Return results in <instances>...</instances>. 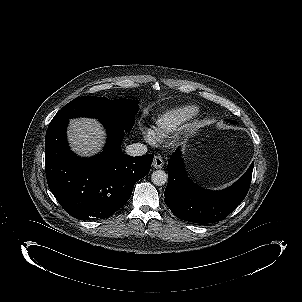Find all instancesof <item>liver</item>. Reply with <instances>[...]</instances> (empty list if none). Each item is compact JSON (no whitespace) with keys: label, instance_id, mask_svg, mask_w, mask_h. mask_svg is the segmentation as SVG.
<instances>
[{"label":"liver","instance_id":"liver-1","mask_svg":"<svg viewBox=\"0 0 302 302\" xmlns=\"http://www.w3.org/2000/svg\"><path fill=\"white\" fill-rule=\"evenodd\" d=\"M68 140L73 151L81 156H91L101 150L105 143V130L95 119H71Z\"/></svg>","mask_w":302,"mask_h":302}]
</instances>
